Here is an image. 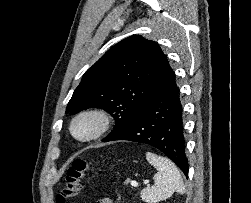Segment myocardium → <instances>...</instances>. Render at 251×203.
I'll return each mask as SVG.
<instances>
[{
  "mask_svg": "<svg viewBox=\"0 0 251 203\" xmlns=\"http://www.w3.org/2000/svg\"><path fill=\"white\" fill-rule=\"evenodd\" d=\"M83 119H90L94 122L93 130L84 136L75 132L76 124ZM113 123V116L102 108H89L78 112L70 122V133L74 139L80 142H89L105 134Z\"/></svg>",
  "mask_w": 251,
  "mask_h": 203,
  "instance_id": "myocardium-1",
  "label": "myocardium"
}]
</instances>
